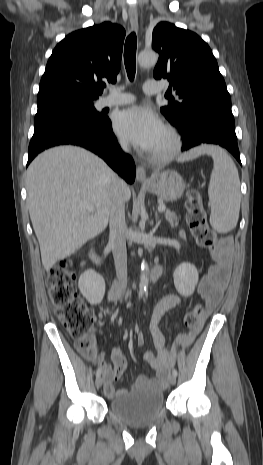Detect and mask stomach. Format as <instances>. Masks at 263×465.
<instances>
[{"instance_id":"obj_1","label":"stomach","mask_w":263,"mask_h":465,"mask_svg":"<svg viewBox=\"0 0 263 465\" xmlns=\"http://www.w3.org/2000/svg\"><path fill=\"white\" fill-rule=\"evenodd\" d=\"M147 189L163 200L176 201L182 196L185 183L177 172L164 170L152 175Z\"/></svg>"}]
</instances>
